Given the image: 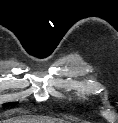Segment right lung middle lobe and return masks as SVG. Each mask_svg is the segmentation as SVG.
<instances>
[{
    "instance_id": "dd1d6c3e",
    "label": "right lung middle lobe",
    "mask_w": 118,
    "mask_h": 123,
    "mask_svg": "<svg viewBox=\"0 0 118 123\" xmlns=\"http://www.w3.org/2000/svg\"><path fill=\"white\" fill-rule=\"evenodd\" d=\"M17 103H6V104H4L3 106L4 107H7V106H12V105H16Z\"/></svg>"
}]
</instances>
